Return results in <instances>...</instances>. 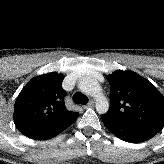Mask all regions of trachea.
<instances>
[{"label":"trachea","mask_w":164,"mask_h":164,"mask_svg":"<svg viewBox=\"0 0 164 164\" xmlns=\"http://www.w3.org/2000/svg\"><path fill=\"white\" fill-rule=\"evenodd\" d=\"M73 101L76 103V104H87L89 99L87 96H85L84 94L80 93V92H76L74 95H73Z\"/></svg>","instance_id":"3493384b"}]
</instances>
